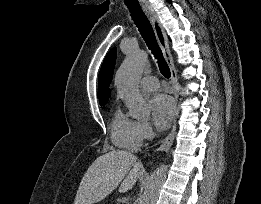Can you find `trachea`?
Returning <instances> with one entry per match:
<instances>
[{
    "label": "trachea",
    "instance_id": "3493384b",
    "mask_svg": "<svg viewBox=\"0 0 261 204\" xmlns=\"http://www.w3.org/2000/svg\"><path fill=\"white\" fill-rule=\"evenodd\" d=\"M127 7L131 13L132 19L135 25L138 27L140 34L142 35L144 41L146 42L148 48L151 50L160 69L161 74L165 78H170L171 73L168 64L166 63L162 51L159 48L153 28L147 19L146 15L142 11L140 5H130L127 4Z\"/></svg>",
    "mask_w": 261,
    "mask_h": 204
}]
</instances>
